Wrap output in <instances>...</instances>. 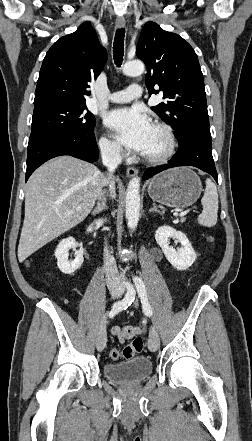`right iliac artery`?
Returning <instances> with one entry per match:
<instances>
[{"instance_id": "right-iliac-artery-1", "label": "right iliac artery", "mask_w": 252, "mask_h": 441, "mask_svg": "<svg viewBox=\"0 0 252 441\" xmlns=\"http://www.w3.org/2000/svg\"><path fill=\"white\" fill-rule=\"evenodd\" d=\"M125 285L127 288V293H126L125 297L121 301L114 303V304H122L124 307V310L127 309L135 299L134 288L129 283H125Z\"/></svg>"}]
</instances>
